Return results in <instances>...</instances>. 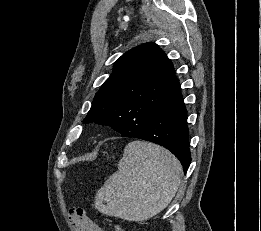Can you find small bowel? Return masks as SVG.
Segmentation results:
<instances>
[{
  "label": "small bowel",
  "mask_w": 261,
  "mask_h": 231,
  "mask_svg": "<svg viewBox=\"0 0 261 231\" xmlns=\"http://www.w3.org/2000/svg\"><path fill=\"white\" fill-rule=\"evenodd\" d=\"M73 229H74V231H80V229L78 227H76L75 225H74ZM86 231H104V229L92 222V227H90Z\"/></svg>",
  "instance_id": "obj_1"
}]
</instances>
